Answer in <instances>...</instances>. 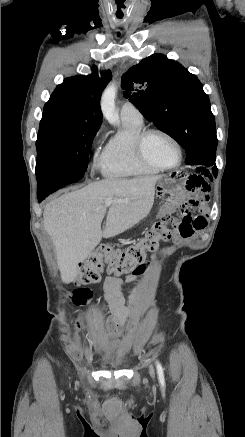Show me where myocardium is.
Listing matches in <instances>:
<instances>
[{
  "instance_id": "obj_1",
  "label": "myocardium",
  "mask_w": 245,
  "mask_h": 437,
  "mask_svg": "<svg viewBox=\"0 0 245 437\" xmlns=\"http://www.w3.org/2000/svg\"><path fill=\"white\" fill-rule=\"evenodd\" d=\"M151 134H160L162 136H164L165 138H167L168 140H170L173 145L176 147L177 152H178V160L174 165L171 166H164L161 164H158L154 161H152L151 159H149L147 157V155L145 154L144 151V143L146 138L151 135ZM134 149L136 152L137 157L146 165L157 168L159 170H173L178 168L181 165L182 159H183V151H182V147L180 145V143L178 142V140L169 132L160 129V128H148V129H144L142 130L135 138L134 140Z\"/></svg>"
}]
</instances>
